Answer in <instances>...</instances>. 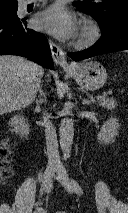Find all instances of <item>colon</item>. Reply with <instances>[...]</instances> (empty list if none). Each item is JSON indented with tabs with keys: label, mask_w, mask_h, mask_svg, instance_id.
I'll use <instances>...</instances> for the list:
<instances>
[{
	"label": "colon",
	"mask_w": 128,
	"mask_h": 213,
	"mask_svg": "<svg viewBox=\"0 0 128 213\" xmlns=\"http://www.w3.org/2000/svg\"><path fill=\"white\" fill-rule=\"evenodd\" d=\"M13 141L6 139L0 143V180H5L12 175L11 160H12ZM57 213H66L58 211Z\"/></svg>",
	"instance_id": "obj_1"
}]
</instances>
